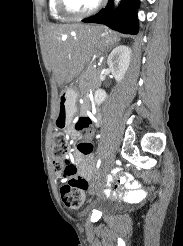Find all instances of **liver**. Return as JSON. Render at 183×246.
Returning a JSON list of instances; mask_svg holds the SVG:
<instances>
[{"instance_id":"liver-1","label":"liver","mask_w":183,"mask_h":246,"mask_svg":"<svg viewBox=\"0 0 183 246\" xmlns=\"http://www.w3.org/2000/svg\"><path fill=\"white\" fill-rule=\"evenodd\" d=\"M97 30L98 27L82 24H54L47 28L49 61L59 86L70 82L89 62Z\"/></svg>"}]
</instances>
